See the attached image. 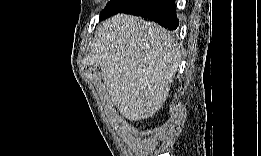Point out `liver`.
Returning a JSON list of instances; mask_svg holds the SVG:
<instances>
[{"instance_id": "6515ba94", "label": "liver", "mask_w": 261, "mask_h": 156, "mask_svg": "<svg viewBox=\"0 0 261 156\" xmlns=\"http://www.w3.org/2000/svg\"><path fill=\"white\" fill-rule=\"evenodd\" d=\"M105 97L130 121L152 117L163 107L181 62L180 47L156 23L117 14L94 38Z\"/></svg>"}]
</instances>
